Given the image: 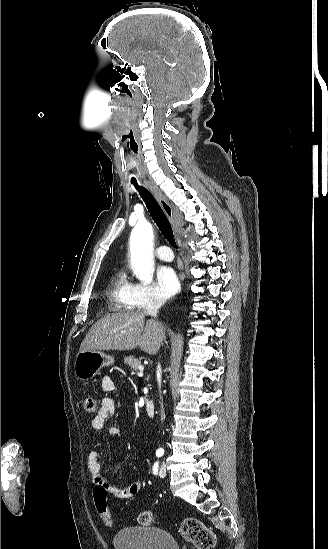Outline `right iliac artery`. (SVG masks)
Returning a JSON list of instances; mask_svg holds the SVG:
<instances>
[{
    "mask_svg": "<svg viewBox=\"0 0 328 549\" xmlns=\"http://www.w3.org/2000/svg\"><path fill=\"white\" fill-rule=\"evenodd\" d=\"M156 456H157V457H160V456H162V453H158V452H157V453H156Z\"/></svg>",
    "mask_w": 328,
    "mask_h": 549,
    "instance_id": "1",
    "label": "right iliac artery"
}]
</instances>
